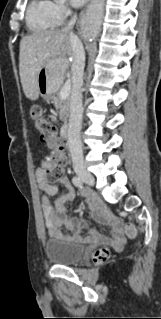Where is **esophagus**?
I'll return each instance as SVG.
<instances>
[{
    "label": "esophagus",
    "instance_id": "obj_1",
    "mask_svg": "<svg viewBox=\"0 0 161 319\" xmlns=\"http://www.w3.org/2000/svg\"><path fill=\"white\" fill-rule=\"evenodd\" d=\"M79 26H80V21L77 22V27H79Z\"/></svg>",
    "mask_w": 161,
    "mask_h": 319
}]
</instances>
